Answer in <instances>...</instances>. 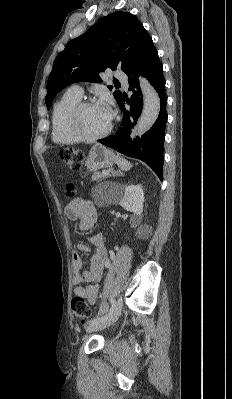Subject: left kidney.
Returning <instances> with one entry per match:
<instances>
[{
  "label": "left kidney",
  "mask_w": 232,
  "mask_h": 399,
  "mask_svg": "<svg viewBox=\"0 0 232 399\" xmlns=\"http://www.w3.org/2000/svg\"><path fill=\"white\" fill-rule=\"evenodd\" d=\"M144 194L142 186H121V200L120 205L127 209V211H133L137 215H142L143 211ZM148 225H140L136 231L138 237H145L147 233Z\"/></svg>",
  "instance_id": "obj_1"
}]
</instances>
